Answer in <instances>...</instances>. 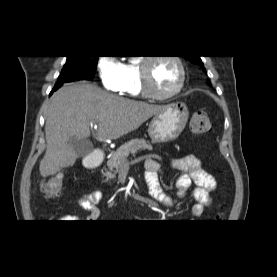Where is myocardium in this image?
<instances>
[{
	"mask_svg": "<svg viewBox=\"0 0 277 277\" xmlns=\"http://www.w3.org/2000/svg\"><path fill=\"white\" fill-rule=\"evenodd\" d=\"M160 59H167L176 64L179 70V81L177 86L169 93L159 94L152 88L151 85V67L153 63ZM186 81V69L180 57L175 55H160L154 57H145L140 65V83L142 93L155 100H167L178 95Z\"/></svg>",
	"mask_w": 277,
	"mask_h": 277,
	"instance_id": "f54148a6",
	"label": "myocardium"
}]
</instances>
